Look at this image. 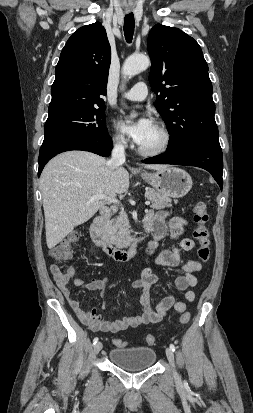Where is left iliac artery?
I'll use <instances>...</instances> for the list:
<instances>
[{"mask_svg": "<svg viewBox=\"0 0 253 413\" xmlns=\"http://www.w3.org/2000/svg\"><path fill=\"white\" fill-rule=\"evenodd\" d=\"M170 349H171L173 352H175V350H176V348H175V346H174L173 344H170Z\"/></svg>", "mask_w": 253, "mask_h": 413, "instance_id": "44dca946", "label": "left iliac artery"}]
</instances>
